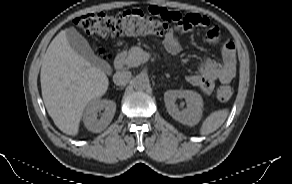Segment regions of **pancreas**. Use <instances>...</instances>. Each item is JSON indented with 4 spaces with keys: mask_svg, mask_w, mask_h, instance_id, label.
Wrapping results in <instances>:
<instances>
[{
    "mask_svg": "<svg viewBox=\"0 0 292 184\" xmlns=\"http://www.w3.org/2000/svg\"><path fill=\"white\" fill-rule=\"evenodd\" d=\"M144 54L145 52L141 47L134 46L128 52H123L121 54V60L128 68L137 67L145 62Z\"/></svg>",
    "mask_w": 292,
    "mask_h": 184,
    "instance_id": "1",
    "label": "pancreas"
}]
</instances>
